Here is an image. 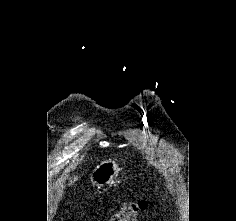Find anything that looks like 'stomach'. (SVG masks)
Segmentation results:
<instances>
[{"label":"stomach","mask_w":236,"mask_h":221,"mask_svg":"<svg viewBox=\"0 0 236 221\" xmlns=\"http://www.w3.org/2000/svg\"><path fill=\"white\" fill-rule=\"evenodd\" d=\"M119 164L114 159L102 161L89 174L93 186L101 187L111 183L120 172Z\"/></svg>","instance_id":"obj_1"}]
</instances>
